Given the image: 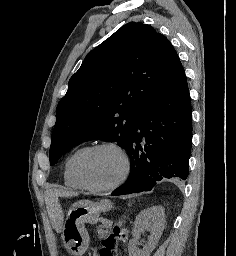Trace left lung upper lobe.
Segmentation results:
<instances>
[{"instance_id":"1","label":"left lung upper lobe","mask_w":236,"mask_h":256,"mask_svg":"<svg viewBox=\"0 0 236 256\" xmlns=\"http://www.w3.org/2000/svg\"><path fill=\"white\" fill-rule=\"evenodd\" d=\"M184 72L171 43L152 26L130 22L121 27L69 80L56 110L50 164L92 139L127 150L137 117Z\"/></svg>"}]
</instances>
